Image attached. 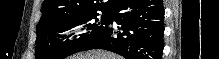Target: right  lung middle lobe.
<instances>
[{
  "mask_svg": "<svg viewBox=\"0 0 219 59\" xmlns=\"http://www.w3.org/2000/svg\"><path fill=\"white\" fill-rule=\"evenodd\" d=\"M58 19L37 27L35 59H63L80 52L109 25L110 11Z\"/></svg>",
  "mask_w": 219,
  "mask_h": 59,
  "instance_id": "obj_1",
  "label": "right lung middle lobe"
}]
</instances>
